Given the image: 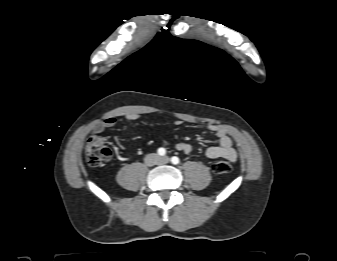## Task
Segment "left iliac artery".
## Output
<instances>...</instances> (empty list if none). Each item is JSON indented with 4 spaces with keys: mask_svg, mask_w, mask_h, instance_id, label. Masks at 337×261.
<instances>
[{
    "mask_svg": "<svg viewBox=\"0 0 337 261\" xmlns=\"http://www.w3.org/2000/svg\"><path fill=\"white\" fill-rule=\"evenodd\" d=\"M171 162H172L173 164L177 165V164H179L180 160H179L178 157L173 156V157L171 158Z\"/></svg>",
    "mask_w": 337,
    "mask_h": 261,
    "instance_id": "left-iliac-artery-1",
    "label": "left iliac artery"
}]
</instances>
